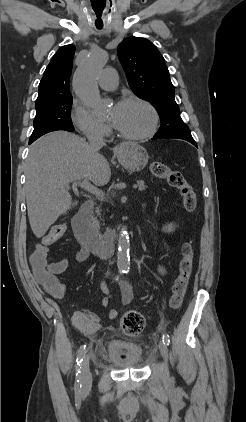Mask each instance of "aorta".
<instances>
[{"mask_svg": "<svg viewBox=\"0 0 246 422\" xmlns=\"http://www.w3.org/2000/svg\"><path fill=\"white\" fill-rule=\"evenodd\" d=\"M107 61V53L95 49L89 53L83 63L76 70L73 77V89L79 99L91 107L97 115L104 113L97 87V77ZM130 243L127 228L124 226L119 234L117 262L120 268L130 265Z\"/></svg>", "mask_w": 246, "mask_h": 422, "instance_id": "aorta-1", "label": "aorta"}]
</instances>
